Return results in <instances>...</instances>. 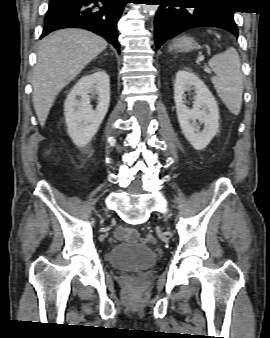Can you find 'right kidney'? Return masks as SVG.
<instances>
[{
	"mask_svg": "<svg viewBox=\"0 0 270 338\" xmlns=\"http://www.w3.org/2000/svg\"><path fill=\"white\" fill-rule=\"evenodd\" d=\"M89 94H98L96 110L92 109ZM109 103L110 81L105 71L97 70L74 85L66 98L64 115L68 134L75 145L84 147L91 141L108 111Z\"/></svg>",
	"mask_w": 270,
	"mask_h": 338,
	"instance_id": "obj_1",
	"label": "right kidney"
}]
</instances>
